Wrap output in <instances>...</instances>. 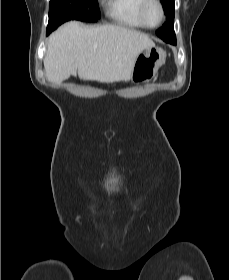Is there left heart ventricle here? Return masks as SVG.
Wrapping results in <instances>:
<instances>
[{
	"instance_id": "left-heart-ventricle-1",
	"label": "left heart ventricle",
	"mask_w": 229,
	"mask_h": 280,
	"mask_svg": "<svg viewBox=\"0 0 229 280\" xmlns=\"http://www.w3.org/2000/svg\"><path fill=\"white\" fill-rule=\"evenodd\" d=\"M160 19V11L157 6L152 5L147 10V21L151 25H155L159 22Z\"/></svg>"
}]
</instances>
